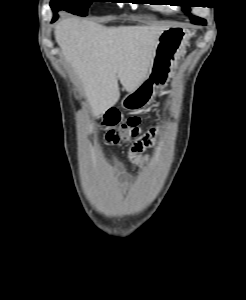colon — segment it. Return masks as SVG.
Returning <instances> with one entry per match:
<instances>
[{
    "label": "colon",
    "mask_w": 246,
    "mask_h": 300,
    "mask_svg": "<svg viewBox=\"0 0 246 300\" xmlns=\"http://www.w3.org/2000/svg\"><path fill=\"white\" fill-rule=\"evenodd\" d=\"M145 117L136 115L129 117L123 124L119 125V113L111 110L100 118V125L105 130V139L112 145H126L135 139L132 150L141 152L153 145L154 130L144 133L143 124Z\"/></svg>",
    "instance_id": "5ec220e1"
}]
</instances>
